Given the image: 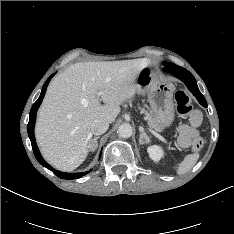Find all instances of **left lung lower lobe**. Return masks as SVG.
Wrapping results in <instances>:
<instances>
[{"label": "left lung lower lobe", "mask_w": 234, "mask_h": 234, "mask_svg": "<svg viewBox=\"0 0 234 234\" xmlns=\"http://www.w3.org/2000/svg\"><path fill=\"white\" fill-rule=\"evenodd\" d=\"M164 70L166 72L172 73L175 77L182 80L186 84L188 89L197 98L200 104L203 105L204 107H207V102L204 96L199 91L195 78L189 71H187L185 68H182L180 66L171 67L170 69H167L165 67Z\"/></svg>", "instance_id": "0a47b994"}]
</instances>
